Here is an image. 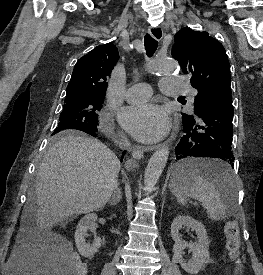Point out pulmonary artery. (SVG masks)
I'll use <instances>...</instances> for the list:
<instances>
[{
	"label": "pulmonary artery",
	"instance_id": "1",
	"mask_svg": "<svg viewBox=\"0 0 263 275\" xmlns=\"http://www.w3.org/2000/svg\"><path fill=\"white\" fill-rule=\"evenodd\" d=\"M160 90L168 96L189 95L191 101L196 95L195 90L190 88L183 80L177 77H167L161 80ZM152 95V89L147 83L132 85L126 92V99L129 102H144Z\"/></svg>",
	"mask_w": 263,
	"mask_h": 275
}]
</instances>
